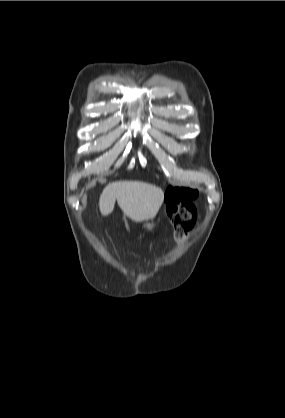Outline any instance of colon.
<instances>
[{"mask_svg": "<svg viewBox=\"0 0 285 418\" xmlns=\"http://www.w3.org/2000/svg\"><path fill=\"white\" fill-rule=\"evenodd\" d=\"M193 191L181 187H169L167 191V215L174 226L175 240L182 243L188 239L195 224Z\"/></svg>", "mask_w": 285, "mask_h": 418, "instance_id": "obj_1", "label": "colon"}]
</instances>
